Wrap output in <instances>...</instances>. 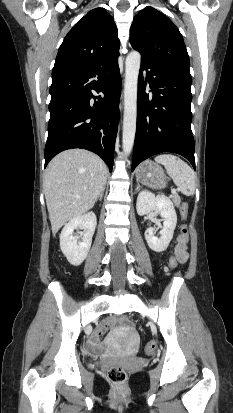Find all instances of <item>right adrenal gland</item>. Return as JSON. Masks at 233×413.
I'll list each match as a JSON object with an SVG mask.
<instances>
[{
    "label": "right adrenal gland",
    "mask_w": 233,
    "mask_h": 413,
    "mask_svg": "<svg viewBox=\"0 0 233 413\" xmlns=\"http://www.w3.org/2000/svg\"><path fill=\"white\" fill-rule=\"evenodd\" d=\"M105 185H106V184H105ZM104 191H105V186H104V188L102 189V191L100 192V194L98 195L96 201H97L98 199H99L100 201H102V197H103Z\"/></svg>",
    "instance_id": "2a0ac1e0"
}]
</instances>
